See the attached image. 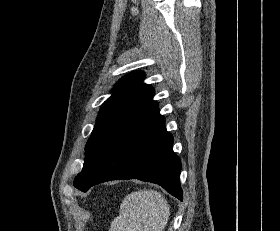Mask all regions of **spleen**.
Instances as JSON below:
<instances>
[{
  "instance_id": "3e777b00",
  "label": "spleen",
  "mask_w": 280,
  "mask_h": 231,
  "mask_svg": "<svg viewBox=\"0 0 280 231\" xmlns=\"http://www.w3.org/2000/svg\"><path fill=\"white\" fill-rule=\"evenodd\" d=\"M169 215V205L160 191L139 189L124 197L120 215L109 231H163Z\"/></svg>"
}]
</instances>
